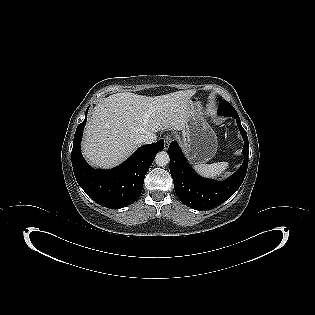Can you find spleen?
Wrapping results in <instances>:
<instances>
[{"label":"spleen","instance_id":"obj_1","mask_svg":"<svg viewBox=\"0 0 315 315\" xmlns=\"http://www.w3.org/2000/svg\"><path fill=\"white\" fill-rule=\"evenodd\" d=\"M228 167L227 162H217L212 164H197L193 168L204 177L214 178L220 176Z\"/></svg>","mask_w":315,"mask_h":315}]
</instances>
